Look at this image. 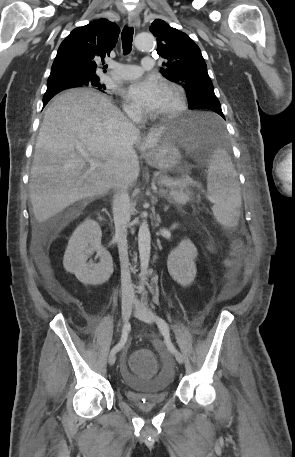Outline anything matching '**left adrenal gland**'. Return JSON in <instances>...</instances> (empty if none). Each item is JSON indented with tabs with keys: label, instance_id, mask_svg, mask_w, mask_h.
Here are the masks:
<instances>
[{
	"label": "left adrenal gland",
	"instance_id": "1",
	"mask_svg": "<svg viewBox=\"0 0 295 457\" xmlns=\"http://www.w3.org/2000/svg\"><path fill=\"white\" fill-rule=\"evenodd\" d=\"M167 209H168V206H165V210H167Z\"/></svg>",
	"mask_w": 295,
	"mask_h": 457
}]
</instances>
